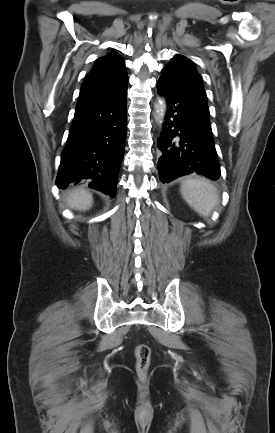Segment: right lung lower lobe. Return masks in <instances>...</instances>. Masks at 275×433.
<instances>
[{"label":"right lung lower lobe","instance_id":"right-lung-lower-lobe-1","mask_svg":"<svg viewBox=\"0 0 275 433\" xmlns=\"http://www.w3.org/2000/svg\"><path fill=\"white\" fill-rule=\"evenodd\" d=\"M127 86L78 99L57 175L58 188L88 180L89 186L110 196L127 134Z\"/></svg>","mask_w":275,"mask_h":433}]
</instances>
